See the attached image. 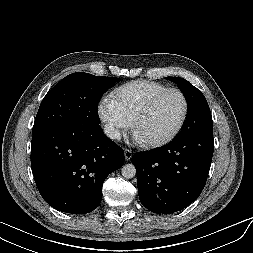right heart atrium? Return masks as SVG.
Wrapping results in <instances>:
<instances>
[{"mask_svg":"<svg viewBox=\"0 0 253 253\" xmlns=\"http://www.w3.org/2000/svg\"><path fill=\"white\" fill-rule=\"evenodd\" d=\"M101 120L107 124L109 136L120 138L130 127L113 98H104L98 107Z\"/></svg>","mask_w":253,"mask_h":253,"instance_id":"obj_1","label":"right heart atrium"}]
</instances>
